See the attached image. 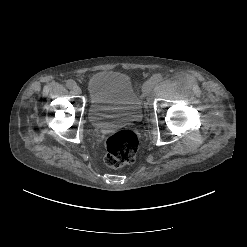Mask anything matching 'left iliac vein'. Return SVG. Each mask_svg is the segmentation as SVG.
<instances>
[{
	"instance_id": "4c4485c4",
	"label": "left iliac vein",
	"mask_w": 247,
	"mask_h": 247,
	"mask_svg": "<svg viewBox=\"0 0 247 247\" xmlns=\"http://www.w3.org/2000/svg\"><path fill=\"white\" fill-rule=\"evenodd\" d=\"M153 87V84L151 82H146L142 87V94L143 96L149 95Z\"/></svg>"
}]
</instances>
